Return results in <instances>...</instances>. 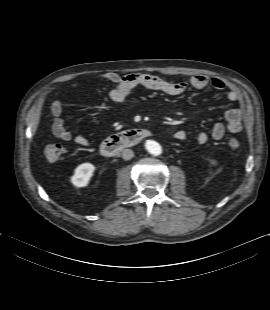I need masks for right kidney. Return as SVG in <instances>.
I'll list each match as a JSON object with an SVG mask.
<instances>
[{
  "label": "right kidney",
  "mask_w": 270,
  "mask_h": 310,
  "mask_svg": "<svg viewBox=\"0 0 270 310\" xmlns=\"http://www.w3.org/2000/svg\"><path fill=\"white\" fill-rule=\"evenodd\" d=\"M95 169V166L91 163H83L79 165L75 169L74 175L71 177V183L76 187L87 186Z\"/></svg>",
  "instance_id": "obj_1"
}]
</instances>
